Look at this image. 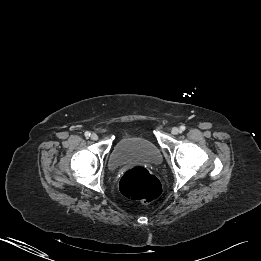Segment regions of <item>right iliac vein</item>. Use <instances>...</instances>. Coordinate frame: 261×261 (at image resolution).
Masks as SVG:
<instances>
[{"label":"right iliac vein","instance_id":"right-iliac-vein-1","mask_svg":"<svg viewBox=\"0 0 261 261\" xmlns=\"http://www.w3.org/2000/svg\"><path fill=\"white\" fill-rule=\"evenodd\" d=\"M92 140H97L98 139V135L93 133L91 134V137H90Z\"/></svg>","mask_w":261,"mask_h":261}]
</instances>
